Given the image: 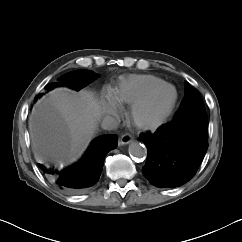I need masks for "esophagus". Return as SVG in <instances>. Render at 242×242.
<instances>
[{
  "mask_svg": "<svg viewBox=\"0 0 242 242\" xmlns=\"http://www.w3.org/2000/svg\"><path fill=\"white\" fill-rule=\"evenodd\" d=\"M133 140V137L130 134H123L120 137V145H126L129 144Z\"/></svg>",
  "mask_w": 242,
  "mask_h": 242,
  "instance_id": "34e87169",
  "label": "esophagus"
}]
</instances>
